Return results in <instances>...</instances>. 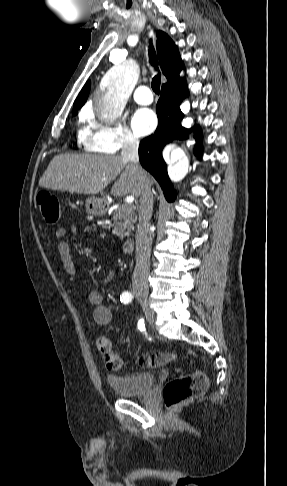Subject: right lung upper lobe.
Instances as JSON below:
<instances>
[{
    "label": "right lung upper lobe",
    "instance_id": "obj_1",
    "mask_svg": "<svg viewBox=\"0 0 287 486\" xmlns=\"http://www.w3.org/2000/svg\"><path fill=\"white\" fill-rule=\"evenodd\" d=\"M156 36L157 53L161 70L167 78V83H165L163 86L174 85L183 80L179 77V71L183 69L184 66L178 48L166 33L157 31ZM89 91L90 81L84 85L76 98L73 113H76V110L84 105L88 98Z\"/></svg>",
    "mask_w": 287,
    "mask_h": 486
}]
</instances>
